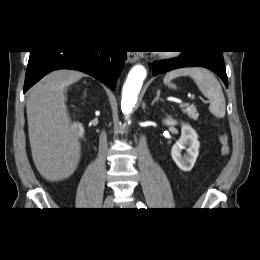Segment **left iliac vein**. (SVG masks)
Listing matches in <instances>:
<instances>
[{"mask_svg":"<svg viewBox=\"0 0 260 260\" xmlns=\"http://www.w3.org/2000/svg\"><path fill=\"white\" fill-rule=\"evenodd\" d=\"M128 207L133 208V207H134V204L129 203V204H128Z\"/></svg>","mask_w":260,"mask_h":260,"instance_id":"4c4485c4","label":"left iliac vein"}]
</instances>
